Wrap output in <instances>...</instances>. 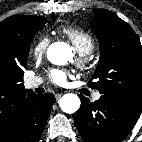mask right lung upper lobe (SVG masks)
<instances>
[{
    "label": "right lung upper lobe",
    "instance_id": "right-lung-upper-lobe-1",
    "mask_svg": "<svg viewBox=\"0 0 142 142\" xmlns=\"http://www.w3.org/2000/svg\"><path fill=\"white\" fill-rule=\"evenodd\" d=\"M40 17L15 15L0 23V134L8 130L20 106L34 94L23 85L27 56L22 45Z\"/></svg>",
    "mask_w": 142,
    "mask_h": 142
}]
</instances>
